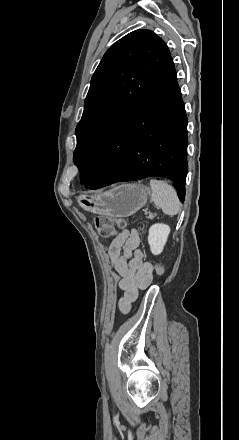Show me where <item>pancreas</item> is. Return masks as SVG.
<instances>
[{"label": "pancreas", "instance_id": "pancreas-1", "mask_svg": "<svg viewBox=\"0 0 239 440\" xmlns=\"http://www.w3.org/2000/svg\"><path fill=\"white\" fill-rule=\"evenodd\" d=\"M145 216H147L148 220H152V218H154V214H150V212H146V210H145Z\"/></svg>", "mask_w": 239, "mask_h": 440}]
</instances>
